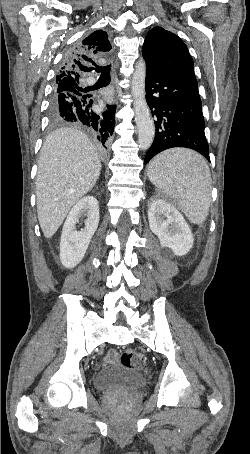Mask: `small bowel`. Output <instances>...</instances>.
Returning a JSON list of instances; mask_svg holds the SVG:
<instances>
[{
    "label": "small bowel",
    "instance_id": "c3829d8e",
    "mask_svg": "<svg viewBox=\"0 0 250 454\" xmlns=\"http://www.w3.org/2000/svg\"><path fill=\"white\" fill-rule=\"evenodd\" d=\"M115 356H116L115 352L112 351L106 356V360L112 361L115 358Z\"/></svg>",
    "mask_w": 250,
    "mask_h": 454
}]
</instances>
